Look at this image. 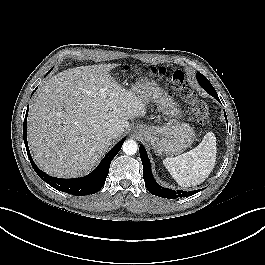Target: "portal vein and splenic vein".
<instances>
[{
	"label": "portal vein and splenic vein",
	"mask_w": 265,
	"mask_h": 265,
	"mask_svg": "<svg viewBox=\"0 0 265 265\" xmlns=\"http://www.w3.org/2000/svg\"><path fill=\"white\" fill-rule=\"evenodd\" d=\"M101 95H102V96L104 95L103 91L101 92Z\"/></svg>",
	"instance_id": "18ae733b"
}]
</instances>
